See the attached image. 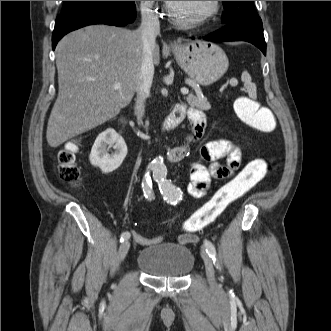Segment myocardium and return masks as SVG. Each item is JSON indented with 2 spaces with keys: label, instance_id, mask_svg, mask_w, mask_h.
<instances>
[{
  "label": "myocardium",
  "instance_id": "myocardium-1",
  "mask_svg": "<svg viewBox=\"0 0 331 331\" xmlns=\"http://www.w3.org/2000/svg\"><path fill=\"white\" fill-rule=\"evenodd\" d=\"M219 10H220V1H211V6L207 12L201 14L200 16H198L196 18H192L189 20H183V19L178 18L174 14L170 4H167L166 13H167L169 19L177 26L196 27V26L202 25V24L208 22L209 20H211L212 18H214L218 14Z\"/></svg>",
  "mask_w": 331,
  "mask_h": 331
}]
</instances>
